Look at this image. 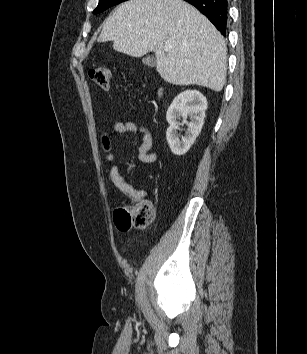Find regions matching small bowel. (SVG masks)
I'll return each instance as SVG.
<instances>
[{"mask_svg": "<svg viewBox=\"0 0 307 354\" xmlns=\"http://www.w3.org/2000/svg\"><path fill=\"white\" fill-rule=\"evenodd\" d=\"M115 132L119 134L124 133H135L141 136V145L138 150V158L144 163H153L157 160L158 154L156 151L152 150L153 147V137L151 132L143 125L133 122V121H118L113 125ZM103 143L105 148H109L108 137L103 138ZM108 160L112 163L110 168V178L115 187L120 190L123 194L133 199L136 202L143 201L146 196V192L141 189H136L130 185L124 177L120 174L119 167L116 163V158L111 153L108 154ZM153 210V208H152ZM154 214V213H153Z\"/></svg>", "mask_w": 307, "mask_h": 354, "instance_id": "1", "label": "small bowel"}]
</instances>
